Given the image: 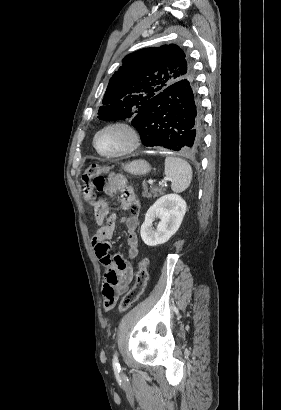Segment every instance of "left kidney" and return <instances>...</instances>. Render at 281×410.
Wrapping results in <instances>:
<instances>
[{
    "label": "left kidney",
    "instance_id": "left-kidney-1",
    "mask_svg": "<svg viewBox=\"0 0 281 410\" xmlns=\"http://www.w3.org/2000/svg\"><path fill=\"white\" fill-rule=\"evenodd\" d=\"M186 202L177 194L160 197L147 211L140 234L148 246H157L167 242L179 229L186 213ZM155 218L160 222L157 228L152 227Z\"/></svg>",
    "mask_w": 281,
    "mask_h": 410
}]
</instances>
